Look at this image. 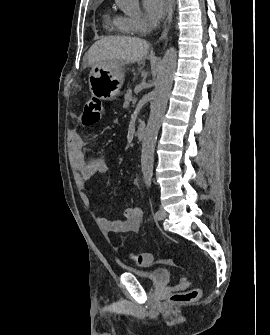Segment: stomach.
<instances>
[{
  "label": "stomach",
  "instance_id": "obj_1",
  "mask_svg": "<svg viewBox=\"0 0 270 335\" xmlns=\"http://www.w3.org/2000/svg\"><path fill=\"white\" fill-rule=\"evenodd\" d=\"M124 74L121 68L112 70V67L94 64L88 74L89 92L92 98L98 100H116L121 94Z\"/></svg>",
  "mask_w": 270,
  "mask_h": 335
}]
</instances>
